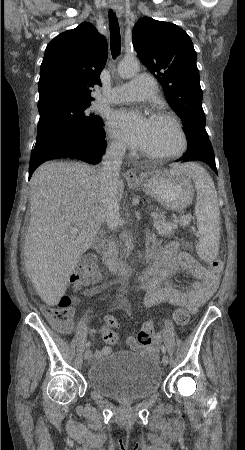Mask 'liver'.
<instances>
[{"instance_id":"obj_1","label":"liver","mask_w":245,"mask_h":450,"mask_svg":"<svg viewBox=\"0 0 245 450\" xmlns=\"http://www.w3.org/2000/svg\"><path fill=\"white\" fill-rule=\"evenodd\" d=\"M30 187L25 268L37 294L54 306L104 223L105 207L98 173L84 163H44L33 173ZM123 191L119 181L118 200ZM71 228H78V233L72 235Z\"/></svg>"}]
</instances>
